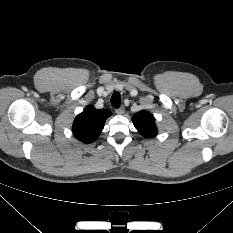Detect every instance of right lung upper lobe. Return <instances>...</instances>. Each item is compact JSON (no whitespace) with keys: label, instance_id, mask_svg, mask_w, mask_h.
Here are the masks:
<instances>
[{"label":"right lung upper lobe","instance_id":"right-lung-upper-lobe-1","mask_svg":"<svg viewBox=\"0 0 233 233\" xmlns=\"http://www.w3.org/2000/svg\"><path fill=\"white\" fill-rule=\"evenodd\" d=\"M110 115L109 110L87 106L74 120V136L84 143L93 142L103 130L105 121Z\"/></svg>","mask_w":233,"mask_h":233}]
</instances>
